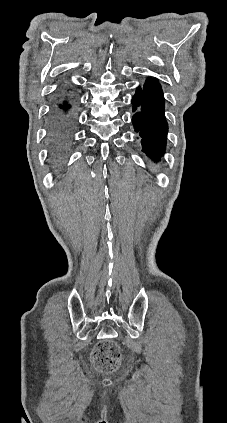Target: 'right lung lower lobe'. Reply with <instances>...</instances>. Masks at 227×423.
Segmentation results:
<instances>
[{
    "label": "right lung lower lobe",
    "instance_id": "98d812e1",
    "mask_svg": "<svg viewBox=\"0 0 227 423\" xmlns=\"http://www.w3.org/2000/svg\"><path fill=\"white\" fill-rule=\"evenodd\" d=\"M58 107L67 110L70 104L64 100ZM71 144L72 135L69 126L62 119L57 118L49 129V164L60 165L68 154Z\"/></svg>",
    "mask_w": 227,
    "mask_h": 423
}]
</instances>
